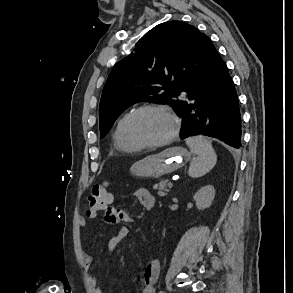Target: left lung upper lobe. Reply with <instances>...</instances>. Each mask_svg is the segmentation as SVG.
I'll list each match as a JSON object with an SVG mask.
<instances>
[{
	"mask_svg": "<svg viewBox=\"0 0 293 293\" xmlns=\"http://www.w3.org/2000/svg\"><path fill=\"white\" fill-rule=\"evenodd\" d=\"M211 44L207 35L181 21L161 23L147 32L106 81L99 107L100 137L138 102L167 104L178 113L179 96L200 81Z\"/></svg>",
	"mask_w": 293,
	"mask_h": 293,
	"instance_id": "1",
	"label": "left lung upper lobe"
}]
</instances>
